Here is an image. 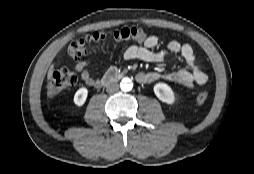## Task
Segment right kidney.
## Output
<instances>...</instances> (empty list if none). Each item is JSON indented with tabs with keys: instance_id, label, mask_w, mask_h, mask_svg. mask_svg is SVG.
<instances>
[{
	"instance_id": "ca27d5eb",
	"label": "right kidney",
	"mask_w": 254,
	"mask_h": 174,
	"mask_svg": "<svg viewBox=\"0 0 254 174\" xmlns=\"http://www.w3.org/2000/svg\"><path fill=\"white\" fill-rule=\"evenodd\" d=\"M87 95L88 90L85 87L78 89L74 95V103L77 106H82L86 101Z\"/></svg>"
}]
</instances>
